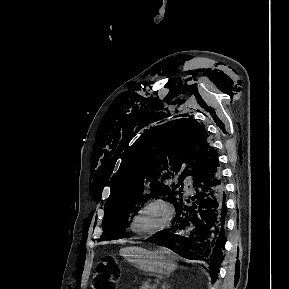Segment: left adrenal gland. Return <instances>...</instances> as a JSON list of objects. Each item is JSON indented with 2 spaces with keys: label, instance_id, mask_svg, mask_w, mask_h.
I'll return each mask as SVG.
<instances>
[{
  "label": "left adrenal gland",
  "instance_id": "a2214340",
  "mask_svg": "<svg viewBox=\"0 0 289 289\" xmlns=\"http://www.w3.org/2000/svg\"><path fill=\"white\" fill-rule=\"evenodd\" d=\"M161 289H169V285H167L166 282H164L161 286Z\"/></svg>",
  "mask_w": 289,
  "mask_h": 289
}]
</instances>
